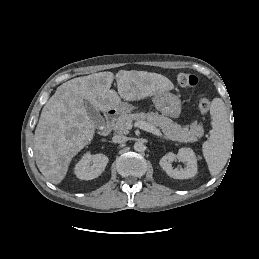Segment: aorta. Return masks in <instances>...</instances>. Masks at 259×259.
Listing matches in <instances>:
<instances>
[{
	"label": "aorta",
	"instance_id": "762f6f07",
	"mask_svg": "<svg viewBox=\"0 0 259 259\" xmlns=\"http://www.w3.org/2000/svg\"><path fill=\"white\" fill-rule=\"evenodd\" d=\"M134 150L137 152H142L145 150V145L142 142H136L134 144Z\"/></svg>",
	"mask_w": 259,
	"mask_h": 259
}]
</instances>
